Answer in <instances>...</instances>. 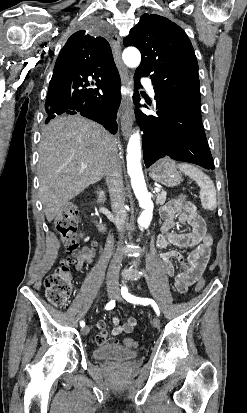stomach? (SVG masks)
<instances>
[{
	"instance_id": "0dacf381",
	"label": "stomach",
	"mask_w": 247,
	"mask_h": 413,
	"mask_svg": "<svg viewBox=\"0 0 247 413\" xmlns=\"http://www.w3.org/2000/svg\"><path fill=\"white\" fill-rule=\"evenodd\" d=\"M149 176L165 186H177L183 180L181 170H178L175 162L168 158H162L158 164L150 168Z\"/></svg>"
}]
</instances>
